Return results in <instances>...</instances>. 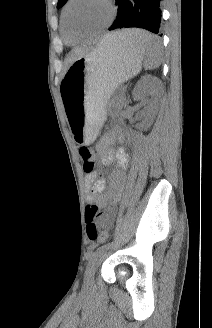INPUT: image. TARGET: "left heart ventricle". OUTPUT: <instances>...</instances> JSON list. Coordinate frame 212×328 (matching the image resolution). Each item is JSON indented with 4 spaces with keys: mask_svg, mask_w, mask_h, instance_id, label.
I'll list each match as a JSON object with an SVG mask.
<instances>
[{
    "mask_svg": "<svg viewBox=\"0 0 212 328\" xmlns=\"http://www.w3.org/2000/svg\"><path fill=\"white\" fill-rule=\"evenodd\" d=\"M110 17V9L104 0H76L68 10L72 32H86L104 25Z\"/></svg>",
    "mask_w": 212,
    "mask_h": 328,
    "instance_id": "1",
    "label": "left heart ventricle"
}]
</instances>
